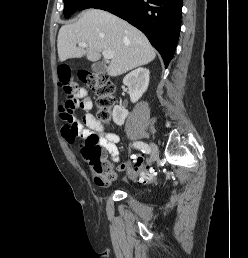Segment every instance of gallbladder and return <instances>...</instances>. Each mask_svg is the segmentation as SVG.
<instances>
[{
	"label": "gallbladder",
	"instance_id": "obj_1",
	"mask_svg": "<svg viewBox=\"0 0 248 258\" xmlns=\"http://www.w3.org/2000/svg\"><path fill=\"white\" fill-rule=\"evenodd\" d=\"M91 68L94 72L99 74H104L106 72V65L104 63H95Z\"/></svg>",
	"mask_w": 248,
	"mask_h": 258
}]
</instances>
